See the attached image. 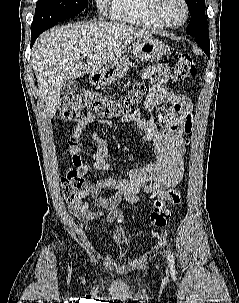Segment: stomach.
I'll use <instances>...</instances> for the list:
<instances>
[{"instance_id":"0dacf381","label":"stomach","mask_w":239,"mask_h":303,"mask_svg":"<svg viewBox=\"0 0 239 303\" xmlns=\"http://www.w3.org/2000/svg\"><path fill=\"white\" fill-rule=\"evenodd\" d=\"M167 52L164 43L151 36L138 38L133 43V56L142 61L159 60ZM131 63L127 56H118L114 61L93 70L89 81L96 86L109 85L123 78L129 70Z\"/></svg>"}]
</instances>
